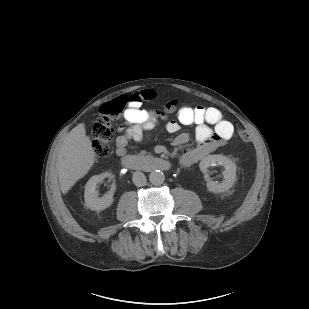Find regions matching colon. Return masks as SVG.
<instances>
[{"mask_svg":"<svg viewBox=\"0 0 309 309\" xmlns=\"http://www.w3.org/2000/svg\"><path fill=\"white\" fill-rule=\"evenodd\" d=\"M128 100L127 97L122 96L106 102L100 107L99 115L92 128V150L96 157L108 156L110 144L114 139V121L123 114ZM173 106L174 103H170L168 108L172 109ZM238 136L244 142L250 141L249 133L243 129L238 131Z\"/></svg>","mask_w":309,"mask_h":309,"instance_id":"1","label":"colon"}]
</instances>
